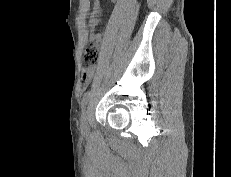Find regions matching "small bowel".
I'll return each instance as SVG.
<instances>
[{
	"instance_id": "c3829d8e",
	"label": "small bowel",
	"mask_w": 231,
	"mask_h": 177,
	"mask_svg": "<svg viewBox=\"0 0 231 177\" xmlns=\"http://www.w3.org/2000/svg\"><path fill=\"white\" fill-rule=\"evenodd\" d=\"M112 1H115V0H112ZM100 2H101V0H93V2H92V9H91L90 16H89V27L91 29L96 28L101 22V19H100V14H101ZM94 39L97 42H100V41H102V36L100 34H97L94 36ZM93 75H94L93 69L84 70L82 73V77H81L82 82L84 84L89 83L91 81Z\"/></svg>"
}]
</instances>
